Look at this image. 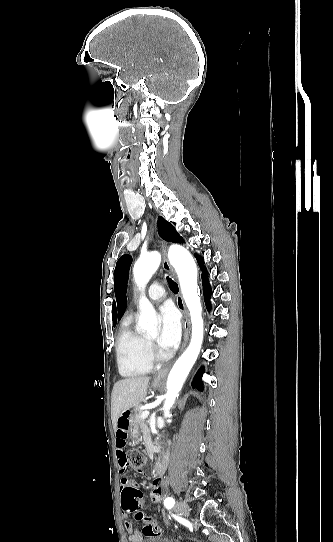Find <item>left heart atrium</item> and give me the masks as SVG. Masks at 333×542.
Listing matches in <instances>:
<instances>
[{
  "mask_svg": "<svg viewBox=\"0 0 333 542\" xmlns=\"http://www.w3.org/2000/svg\"><path fill=\"white\" fill-rule=\"evenodd\" d=\"M162 330L159 334L158 343L167 354L173 353L181 335V321L175 307L166 304L161 308Z\"/></svg>",
  "mask_w": 333,
  "mask_h": 542,
  "instance_id": "1",
  "label": "left heart atrium"
}]
</instances>
